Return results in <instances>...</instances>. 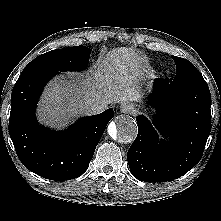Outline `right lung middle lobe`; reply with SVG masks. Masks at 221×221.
<instances>
[{"label": "right lung middle lobe", "instance_id": "obj_1", "mask_svg": "<svg viewBox=\"0 0 221 221\" xmlns=\"http://www.w3.org/2000/svg\"><path fill=\"white\" fill-rule=\"evenodd\" d=\"M90 49L85 46H74L55 49L32 60L22 72L32 69L53 71H78L87 67Z\"/></svg>", "mask_w": 221, "mask_h": 221}]
</instances>
